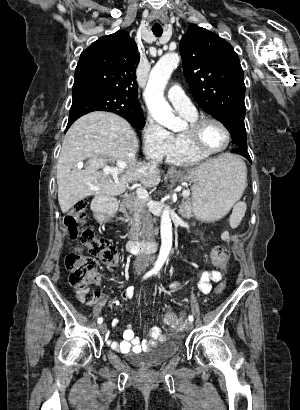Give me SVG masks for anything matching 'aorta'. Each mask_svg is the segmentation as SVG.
<instances>
[{
    "label": "aorta",
    "instance_id": "obj_1",
    "mask_svg": "<svg viewBox=\"0 0 300 410\" xmlns=\"http://www.w3.org/2000/svg\"><path fill=\"white\" fill-rule=\"evenodd\" d=\"M179 61L180 57L177 53H168L161 57L150 72L144 92L145 101L151 116L159 124L172 131H179L183 122L173 114L172 108L164 98V89ZM160 229L161 247L154 264V270L156 271L163 267L172 248V223L169 207H166L163 211Z\"/></svg>",
    "mask_w": 300,
    "mask_h": 410
}]
</instances>
